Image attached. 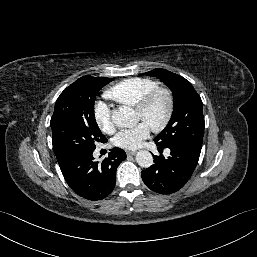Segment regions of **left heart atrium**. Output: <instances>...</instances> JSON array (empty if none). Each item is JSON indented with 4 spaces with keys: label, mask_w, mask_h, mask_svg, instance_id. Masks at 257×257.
<instances>
[{
    "label": "left heart atrium",
    "mask_w": 257,
    "mask_h": 257,
    "mask_svg": "<svg viewBox=\"0 0 257 257\" xmlns=\"http://www.w3.org/2000/svg\"><path fill=\"white\" fill-rule=\"evenodd\" d=\"M150 134V126L141 122L135 127L123 129L113 139L114 145L124 149H136Z\"/></svg>",
    "instance_id": "1"
}]
</instances>
